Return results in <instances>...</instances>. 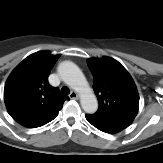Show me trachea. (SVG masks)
<instances>
[{"mask_svg":"<svg viewBox=\"0 0 163 163\" xmlns=\"http://www.w3.org/2000/svg\"><path fill=\"white\" fill-rule=\"evenodd\" d=\"M61 93H62V94H69V93H70V90H69L68 87L63 86V87L61 88Z\"/></svg>","mask_w":163,"mask_h":163,"instance_id":"obj_1","label":"trachea"}]
</instances>
